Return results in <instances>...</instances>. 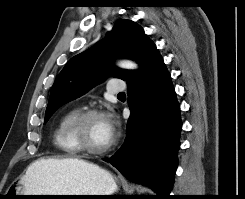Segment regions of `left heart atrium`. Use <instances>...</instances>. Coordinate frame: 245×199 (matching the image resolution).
Segmentation results:
<instances>
[{"label":"left heart atrium","instance_id":"left-heart-atrium-1","mask_svg":"<svg viewBox=\"0 0 245 199\" xmlns=\"http://www.w3.org/2000/svg\"><path fill=\"white\" fill-rule=\"evenodd\" d=\"M106 126H107L108 134L110 135L111 138H113L116 129V122L112 117L110 116L106 117Z\"/></svg>","mask_w":245,"mask_h":199}]
</instances>
